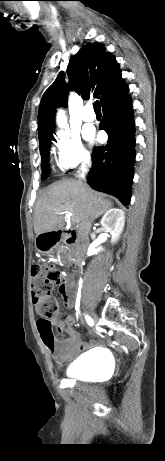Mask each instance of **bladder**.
I'll list each match as a JSON object with an SVG mask.
<instances>
[{
  "instance_id": "bladder-1",
  "label": "bladder",
  "mask_w": 165,
  "mask_h": 461,
  "mask_svg": "<svg viewBox=\"0 0 165 461\" xmlns=\"http://www.w3.org/2000/svg\"><path fill=\"white\" fill-rule=\"evenodd\" d=\"M107 353H87L80 356L67 370V375L77 380H92L100 377L107 366Z\"/></svg>"
}]
</instances>
